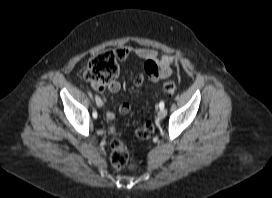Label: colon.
<instances>
[{"instance_id": "colon-1", "label": "colon", "mask_w": 272, "mask_h": 198, "mask_svg": "<svg viewBox=\"0 0 272 198\" xmlns=\"http://www.w3.org/2000/svg\"><path fill=\"white\" fill-rule=\"evenodd\" d=\"M118 60L121 56L117 50H105L96 54L87 65L84 75L90 84L100 90H105L108 86L115 81L118 74ZM144 72L148 77H156L158 75V66L156 62L147 60L143 66ZM138 84H142L143 77L137 78ZM163 88L168 93H173L176 85L172 81L164 83ZM154 132V124L152 121H147L142 127L135 131V136L139 140H148ZM109 133L113 137L111 140V153L110 161L114 169L134 170L138 167L139 162L135 159H130L128 153V144L123 142L117 135V126L111 125Z\"/></svg>"}]
</instances>
